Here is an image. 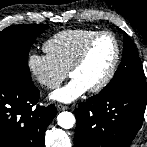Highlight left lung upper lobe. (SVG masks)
<instances>
[{"label": "left lung upper lobe", "instance_id": "left-lung-upper-lobe-1", "mask_svg": "<svg viewBox=\"0 0 147 147\" xmlns=\"http://www.w3.org/2000/svg\"><path fill=\"white\" fill-rule=\"evenodd\" d=\"M123 57L113 79L100 93L135 88L146 91L144 70L134 42L124 33Z\"/></svg>", "mask_w": 147, "mask_h": 147}]
</instances>
